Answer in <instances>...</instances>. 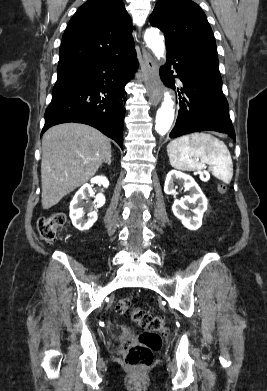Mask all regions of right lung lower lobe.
Instances as JSON below:
<instances>
[{
    "mask_svg": "<svg viewBox=\"0 0 267 391\" xmlns=\"http://www.w3.org/2000/svg\"><path fill=\"white\" fill-rule=\"evenodd\" d=\"M137 67L132 49L58 77L41 134L60 123H83L97 128L122 148L125 108L120 98H124V87Z\"/></svg>",
    "mask_w": 267,
    "mask_h": 391,
    "instance_id": "obj_1",
    "label": "right lung lower lobe"
}]
</instances>
